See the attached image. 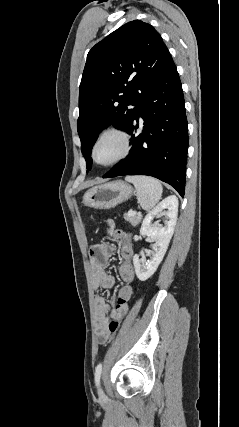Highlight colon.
Instances as JSON below:
<instances>
[{"label": "colon", "instance_id": "obj_1", "mask_svg": "<svg viewBox=\"0 0 239 427\" xmlns=\"http://www.w3.org/2000/svg\"><path fill=\"white\" fill-rule=\"evenodd\" d=\"M118 233L122 232L121 228L117 229ZM117 232L113 233L114 244H119L120 261L117 268V281L124 282L125 284L120 285V289L116 290V297L119 298V304L125 302L124 298H129L131 292V285L136 275L135 268V247L134 240L132 237L133 230H126L122 235H118ZM110 332H115L118 328V321L112 319L108 323Z\"/></svg>", "mask_w": 239, "mask_h": 427}]
</instances>
